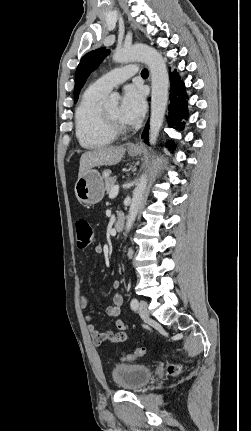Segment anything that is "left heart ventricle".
<instances>
[{
	"instance_id": "b2bd125f",
	"label": "left heart ventricle",
	"mask_w": 251,
	"mask_h": 431,
	"mask_svg": "<svg viewBox=\"0 0 251 431\" xmlns=\"http://www.w3.org/2000/svg\"><path fill=\"white\" fill-rule=\"evenodd\" d=\"M105 110L115 120H117L123 124H126V122L122 118L119 104H113V105L107 107Z\"/></svg>"
}]
</instances>
